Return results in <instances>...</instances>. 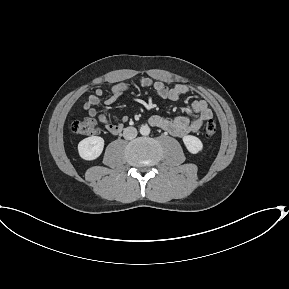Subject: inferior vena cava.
<instances>
[{
	"label": "inferior vena cava",
	"mask_w": 289,
	"mask_h": 289,
	"mask_svg": "<svg viewBox=\"0 0 289 289\" xmlns=\"http://www.w3.org/2000/svg\"><path fill=\"white\" fill-rule=\"evenodd\" d=\"M137 136V129L134 127H127L123 131V137L126 140H132Z\"/></svg>",
	"instance_id": "obj_1"
}]
</instances>
